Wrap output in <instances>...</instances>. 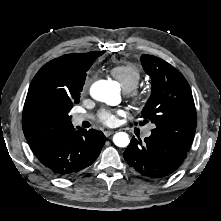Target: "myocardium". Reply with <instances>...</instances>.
Returning <instances> with one entry per match:
<instances>
[{
  "label": "myocardium",
  "mask_w": 221,
  "mask_h": 221,
  "mask_svg": "<svg viewBox=\"0 0 221 221\" xmlns=\"http://www.w3.org/2000/svg\"><path fill=\"white\" fill-rule=\"evenodd\" d=\"M128 97L135 105L138 106H141L146 102V94L136 89L128 92Z\"/></svg>",
  "instance_id": "myocardium-1"
}]
</instances>
